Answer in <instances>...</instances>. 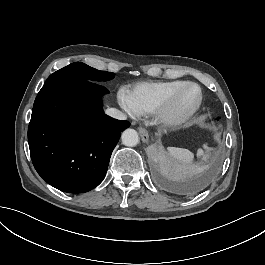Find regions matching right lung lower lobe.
I'll use <instances>...</instances> for the list:
<instances>
[{"label": "right lung lower lobe", "mask_w": 265, "mask_h": 265, "mask_svg": "<svg viewBox=\"0 0 265 265\" xmlns=\"http://www.w3.org/2000/svg\"><path fill=\"white\" fill-rule=\"evenodd\" d=\"M108 90L92 81L44 86L35 99L28 127L33 165L51 186L83 193L106 175L121 132L130 126L105 115Z\"/></svg>", "instance_id": "right-lung-lower-lobe-1"}]
</instances>
